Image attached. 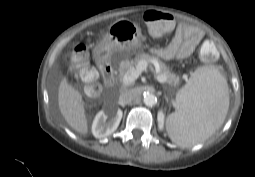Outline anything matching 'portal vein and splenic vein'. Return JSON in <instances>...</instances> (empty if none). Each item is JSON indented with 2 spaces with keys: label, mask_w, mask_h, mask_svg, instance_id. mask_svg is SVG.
I'll use <instances>...</instances> for the list:
<instances>
[{
  "label": "portal vein and splenic vein",
  "mask_w": 255,
  "mask_h": 177,
  "mask_svg": "<svg viewBox=\"0 0 255 177\" xmlns=\"http://www.w3.org/2000/svg\"><path fill=\"white\" fill-rule=\"evenodd\" d=\"M148 63L144 60H141L138 62L136 67L130 69L122 79V83L124 85H130L132 84L140 75L143 71L147 69ZM157 80L161 83L166 81V78L164 76H157Z\"/></svg>",
  "instance_id": "portal-vein-and-splenic-vein-1"
}]
</instances>
